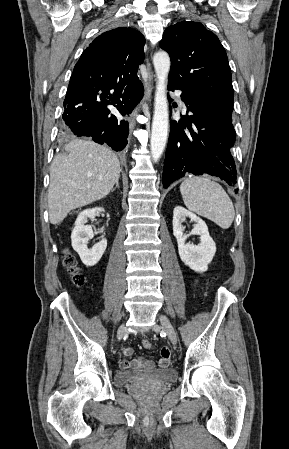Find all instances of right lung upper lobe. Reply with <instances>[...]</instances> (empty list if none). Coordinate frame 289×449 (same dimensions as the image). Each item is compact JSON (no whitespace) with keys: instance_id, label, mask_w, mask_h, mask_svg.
<instances>
[{"instance_id":"right-lung-upper-lobe-1","label":"right lung upper lobe","mask_w":289,"mask_h":449,"mask_svg":"<svg viewBox=\"0 0 289 449\" xmlns=\"http://www.w3.org/2000/svg\"><path fill=\"white\" fill-rule=\"evenodd\" d=\"M144 36L118 27L98 36L82 53L71 76L84 81L119 83L136 78L144 61Z\"/></svg>"}]
</instances>
